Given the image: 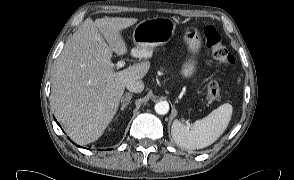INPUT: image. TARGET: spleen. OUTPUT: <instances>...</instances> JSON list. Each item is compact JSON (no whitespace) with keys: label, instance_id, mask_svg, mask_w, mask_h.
Listing matches in <instances>:
<instances>
[{"label":"spleen","instance_id":"3e777b00","mask_svg":"<svg viewBox=\"0 0 294 180\" xmlns=\"http://www.w3.org/2000/svg\"><path fill=\"white\" fill-rule=\"evenodd\" d=\"M231 115L232 106L225 103L192 125L174 120L171 127L172 137L177 145L185 149L208 147L223 134L230 122Z\"/></svg>","mask_w":294,"mask_h":180}]
</instances>
